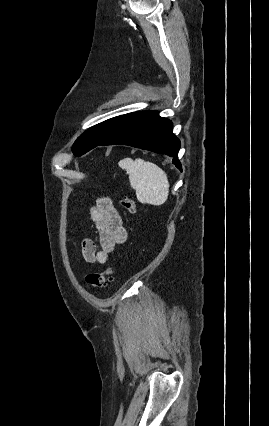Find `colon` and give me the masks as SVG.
Listing matches in <instances>:
<instances>
[{"mask_svg": "<svg viewBox=\"0 0 269 426\" xmlns=\"http://www.w3.org/2000/svg\"><path fill=\"white\" fill-rule=\"evenodd\" d=\"M120 206L129 213L136 211V202L131 197H123L119 200ZM115 269L112 267L107 268L103 272H91L86 276V283L90 288L99 289L103 288L113 279Z\"/></svg>", "mask_w": 269, "mask_h": 426, "instance_id": "5ec220e1", "label": "colon"}]
</instances>
